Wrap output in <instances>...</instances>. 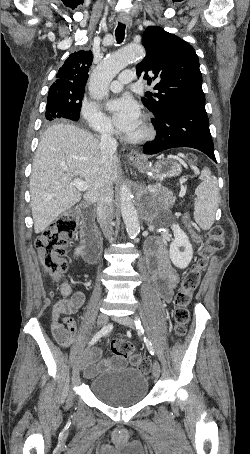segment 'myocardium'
<instances>
[{
    "label": "myocardium",
    "instance_id": "1",
    "mask_svg": "<svg viewBox=\"0 0 250 454\" xmlns=\"http://www.w3.org/2000/svg\"><path fill=\"white\" fill-rule=\"evenodd\" d=\"M141 126H142V132L138 136H124V139L131 144H141L144 143L150 139L153 138L154 136V129L152 125L149 123V121L146 118H143L141 120Z\"/></svg>",
    "mask_w": 250,
    "mask_h": 454
}]
</instances>
